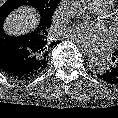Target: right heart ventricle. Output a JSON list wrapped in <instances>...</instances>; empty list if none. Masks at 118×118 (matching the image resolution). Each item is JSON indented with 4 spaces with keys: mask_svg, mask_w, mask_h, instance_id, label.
I'll return each instance as SVG.
<instances>
[{
    "mask_svg": "<svg viewBox=\"0 0 118 118\" xmlns=\"http://www.w3.org/2000/svg\"><path fill=\"white\" fill-rule=\"evenodd\" d=\"M100 13H104L113 7V0H89Z\"/></svg>",
    "mask_w": 118,
    "mask_h": 118,
    "instance_id": "e07e8e85",
    "label": "right heart ventricle"
}]
</instances>
